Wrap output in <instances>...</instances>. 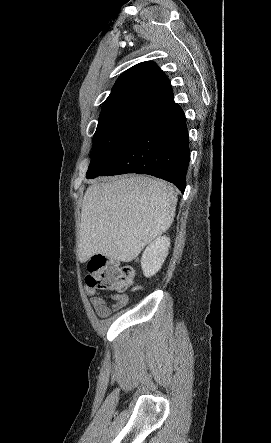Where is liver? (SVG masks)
<instances>
[{
	"label": "liver",
	"instance_id": "1",
	"mask_svg": "<svg viewBox=\"0 0 271 443\" xmlns=\"http://www.w3.org/2000/svg\"><path fill=\"white\" fill-rule=\"evenodd\" d=\"M174 188L148 176H119L92 184L81 208L78 255L132 261L175 218Z\"/></svg>",
	"mask_w": 271,
	"mask_h": 443
}]
</instances>
